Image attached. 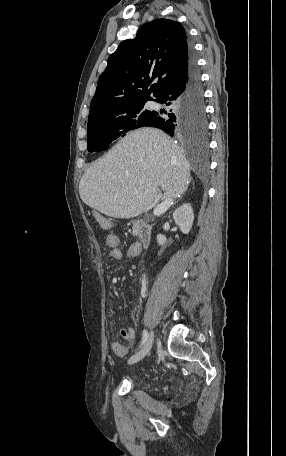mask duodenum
I'll list each match as a JSON object with an SVG mask.
<instances>
[{
	"label": "duodenum",
	"mask_w": 286,
	"mask_h": 456,
	"mask_svg": "<svg viewBox=\"0 0 286 456\" xmlns=\"http://www.w3.org/2000/svg\"><path fill=\"white\" fill-rule=\"evenodd\" d=\"M136 229L139 238V245L146 247L152 240V225L146 221H139L136 224Z\"/></svg>",
	"instance_id": "duodenum-1"
}]
</instances>
